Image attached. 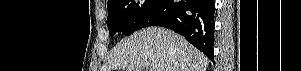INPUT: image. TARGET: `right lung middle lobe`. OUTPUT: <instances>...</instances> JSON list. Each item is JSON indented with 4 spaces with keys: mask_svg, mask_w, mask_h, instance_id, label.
Returning a JSON list of instances; mask_svg holds the SVG:
<instances>
[{
    "mask_svg": "<svg viewBox=\"0 0 301 71\" xmlns=\"http://www.w3.org/2000/svg\"><path fill=\"white\" fill-rule=\"evenodd\" d=\"M157 0H109L107 25L109 34L129 35L141 28Z\"/></svg>",
    "mask_w": 301,
    "mask_h": 71,
    "instance_id": "1",
    "label": "right lung middle lobe"
}]
</instances>
